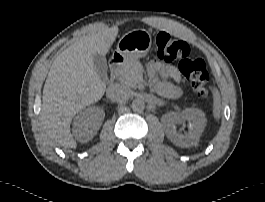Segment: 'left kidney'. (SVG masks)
Wrapping results in <instances>:
<instances>
[{
	"label": "left kidney",
	"instance_id": "obj_1",
	"mask_svg": "<svg viewBox=\"0 0 265 202\" xmlns=\"http://www.w3.org/2000/svg\"><path fill=\"white\" fill-rule=\"evenodd\" d=\"M189 121V131L185 134L177 130L176 124ZM161 122L167 138L176 146L188 148L196 146L206 126L205 114L197 108H187L182 112H168L162 116Z\"/></svg>",
	"mask_w": 265,
	"mask_h": 202
}]
</instances>
